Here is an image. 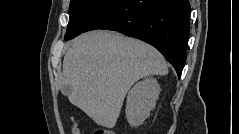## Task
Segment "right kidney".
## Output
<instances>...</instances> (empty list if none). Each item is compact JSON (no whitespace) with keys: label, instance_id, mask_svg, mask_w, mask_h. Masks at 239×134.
<instances>
[{"label":"right kidney","instance_id":"obj_1","mask_svg":"<svg viewBox=\"0 0 239 134\" xmlns=\"http://www.w3.org/2000/svg\"><path fill=\"white\" fill-rule=\"evenodd\" d=\"M159 93L160 87L154 78H146L134 85L126 101V117L131 126L144 122L155 107Z\"/></svg>","mask_w":239,"mask_h":134}]
</instances>
